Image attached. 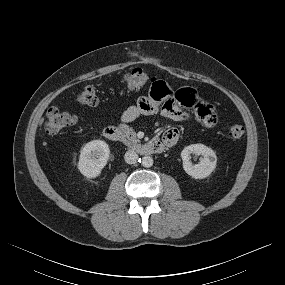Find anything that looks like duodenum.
Masks as SVG:
<instances>
[{"mask_svg":"<svg viewBox=\"0 0 285 285\" xmlns=\"http://www.w3.org/2000/svg\"><path fill=\"white\" fill-rule=\"evenodd\" d=\"M103 133H104V136L110 141L125 144L129 148L134 149L143 155L161 153L166 149V147H168L166 143L160 140L150 141V142H147L141 145H132L126 142L122 131L118 127H115V126L106 127Z\"/></svg>","mask_w":285,"mask_h":285,"instance_id":"duodenum-1","label":"duodenum"}]
</instances>
